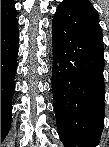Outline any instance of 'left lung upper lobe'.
I'll return each mask as SVG.
<instances>
[{
	"label": "left lung upper lobe",
	"instance_id": "obj_1",
	"mask_svg": "<svg viewBox=\"0 0 109 147\" xmlns=\"http://www.w3.org/2000/svg\"><path fill=\"white\" fill-rule=\"evenodd\" d=\"M63 3L71 4L72 6L77 7L83 12L91 15L93 18L99 20L97 11L93 8L88 0H65ZM69 84H75L74 76L69 77Z\"/></svg>",
	"mask_w": 109,
	"mask_h": 147
}]
</instances>
